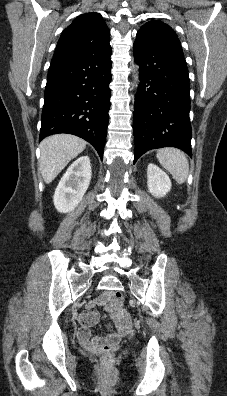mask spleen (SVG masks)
I'll return each instance as SVG.
<instances>
[{"label":"spleen","instance_id":"3e777b00","mask_svg":"<svg viewBox=\"0 0 227 396\" xmlns=\"http://www.w3.org/2000/svg\"><path fill=\"white\" fill-rule=\"evenodd\" d=\"M156 156L160 164L179 184L185 182L189 173V164L184 152L176 148H162L157 151Z\"/></svg>","mask_w":227,"mask_h":396}]
</instances>
